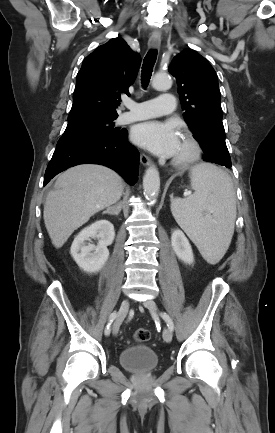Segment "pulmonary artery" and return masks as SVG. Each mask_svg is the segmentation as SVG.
I'll return each instance as SVG.
<instances>
[{
	"label": "pulmonary artery",
	"mask_w": 275,
	"mask_h": 433,
	"mask_svg": "<svg viewBox=\"0 0 275 433\" xmlns=\"http://www.w3.org/2000/svg\"><path fill=\"white\" fill-rule=\"evenodd\" d=\"M125 107L128 111L120 115V123H129L137 120L147 119L160 115L171 114L176 106L174 95L162 93L160 96L143 102L126 101Z\"/></svg>",
	"instance_id": "pulmonary-artery-1"
}]
</instances>
